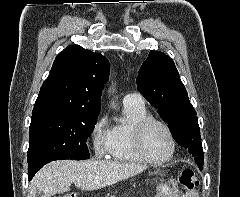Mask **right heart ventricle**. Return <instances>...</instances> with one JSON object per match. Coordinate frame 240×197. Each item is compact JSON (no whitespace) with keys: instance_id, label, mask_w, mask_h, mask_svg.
Returning a JSON list of instances; mask_svg holds the SVG:
<instances>
[{"instance_id":"obj_1","label":"right heart ventricle","mask_w":240,"mask_h":197,"mask_svg":"<svg viewBox=\"0 0 240 197\" xmlns=\"http://www.w3.org/2000/svg\"><path fill=\"white\" fill-rule=\"evenodd\" d=\"M126 122L109 129L108 158L120 162L141 164L144 160L136 153L131 139L132 126L148 116L145 106L124 105Z\"/></svg>"}]
</instances>
